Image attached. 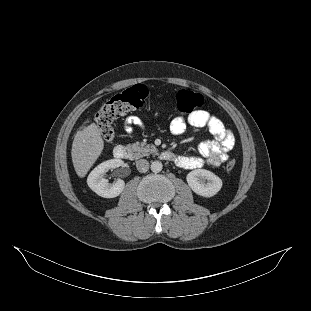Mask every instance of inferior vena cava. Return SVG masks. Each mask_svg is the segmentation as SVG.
<instances>
[{
  "label": "inferior vena cava",
  "instance_id": "602c4592",
  "mask_svg": "<svg viewBox=\"0 0 311 311\" xmlns=\"http://www.w3.org/2000/svg\"><path fill=\"white\" fill-rule=\"evenodd\" d=\"M137 170L141 173H145L149 169V162L145 159H140L136 162Z\"/></svg>",
  "mask_w": 311,
  "mask_h": 311
}]
</instances>
